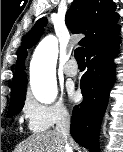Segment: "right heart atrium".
<instances>
[{"instance_id":"d8ad5b80","label":"right heart atrium","mask_w":123,"mask_h":152,"mask_svg":"<svg viewBox=\"0 0 123 152\" xmlns=\"http://www.w3.org/2000/svg\"><path fill=\"white\" fill-rule=\"evenodd\" d=\"M23 114L27 126L32 132L46 131L70 117V111L64 103L58 101L47 105L36 101L32 97L25 100Z\"/></svg>"}]
</instances>
